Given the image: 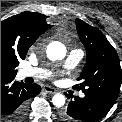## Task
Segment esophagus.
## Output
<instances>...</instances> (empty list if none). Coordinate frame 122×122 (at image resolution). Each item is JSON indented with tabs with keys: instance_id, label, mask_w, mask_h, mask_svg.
I'll use <instances>...</instances> for the list:
<instances>
[{
	"instance_id": "obj_1",
	"label": "esophagus",
	"mask_w": 122,
	"mask_h": 122,
	"mask_svg": "<svg viewBox=\"0 0 122 122\" xmlns=\"http://www.w3.org/2000/svg\"><path fill=\"white\" fill-rule=\"evenodd\" d=\"M43 90L49 94H54L57 92V89L51 87V86H45Z\"/></svg>"
}]
</instances>
